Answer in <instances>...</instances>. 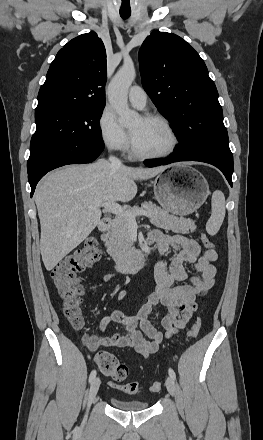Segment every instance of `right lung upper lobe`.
<instances>
[{
	"label": "right lung upper lobe",
	"mask_w": 263,
	"mask_h": 440,
	"mask_svg": "<svg viewBox=\"0 0 263 440\" xmlns=\"http://www.w3.org/2000/svg\"><path fill=\"white\" fill-rule=\"evenodd\" d=\"M106 50L95 32L69 41L56 55L38 94L36 109L104 106Z\"/></svg>",
	"instance_id": "1"
}]
</instances>
